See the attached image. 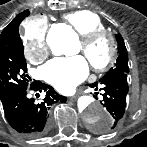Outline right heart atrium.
Wrapping results in <instances>:
<instances>
[{"label":"right heart atrium","instance_id":"obj_1","mask_svg":"<svg viewBox=\"0 0 147 147\" xmlns=\"http://www.w3.org/2000/svg\"><path fill=\"white\" fill-rule=\"evenodd\" d=\"M48 23L44 17H34L24 24V54L31 62L45 59L48 48L45 42Z\"/></svg>","mask_w":147,"mask_h":147}]
</instances>
